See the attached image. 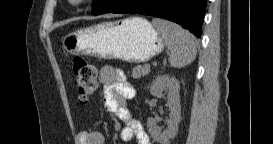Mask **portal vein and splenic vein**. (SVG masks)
<instances>
[{
  "label": "portal vein and splenic vein",
  "instance_id": "obj_1",
  "mask_svg": "<svg viewBox=\"0 0 273 144\" xmlns=\"http://www.w3.org/2000/svg\"><path fill=\"white\" fill-rule=\"evenodd\" d=\"M146 68H149V69H150V65L147 64V65H146Z\"/></svg>",
  "mask_w": 273,
  "mask_h": 144
}]
</instances>
